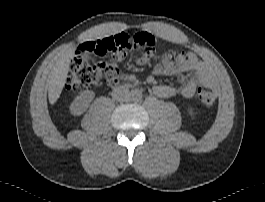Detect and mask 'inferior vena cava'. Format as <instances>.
Returning <instances> with one entry per match:
<instances>
[{
    "label": "inferior vena cava",
    "mask_w": 265,
    "mask_h": 202,
    "mask_svg": "<svg viewBox=\"0 0 265 202\" xmlns=\"http://www.w3.org/2000/svg\"><path fill=\"white\" fill-rule=\"evenodd\" d=\"M130 91L124 86H119L113 89L112 98L117 102H124L130 98Z\"/></svg>",
    "instance_id": "602c4592"
}]
</instances>
